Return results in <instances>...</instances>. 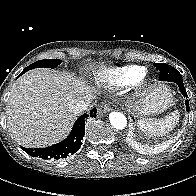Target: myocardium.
<instances>
[{
  "instance_id": "myocardium-1",
  "label": "myocardium",
  "mask_w": 196,
  "mask_h": 196,
  "mask_svg": "<svg viewBox=\"0 0 196 196\" xmlns=\"http://www.w3.org/2000/svg\"><path fill=\"white\" fill-rule=\"evenodd\" d=\"M150 81V77L147 76L145 73L136 83H135V90L136 91H142L147 87V84Z\"/></svg>"
}]
</instances>
